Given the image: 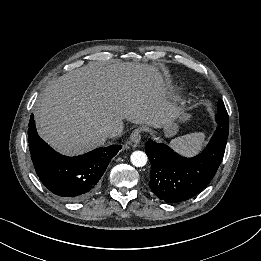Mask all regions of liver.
<instances>
[{"label":"liver","instance_id":"liver-1","mask_svg":"<svg viewBox=\"0 0 261 261\" xmlns=\"http://www.w3.org/2000/svg\"><path fill=\"white\" fill-rule=\"evenodd\" d=\"M154 66L134 62L91 63L49 84L35 104L39 135L62 154L104 145V128L123 120L160 127L181 112Z\"/></svg>","mask_w":261,"mask_h":261}]
</instances>
